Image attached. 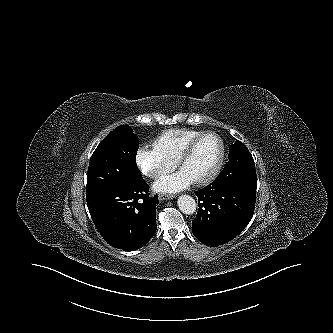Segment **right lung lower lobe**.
Returning <instances> with one entry per match:
<instances>
[{"instance_id":"98d812e1","label":"right lung lower lobe","mask_w":333,"mask_h":333,"mask_svg":"<svg viewBox=\"0 0 333 333\" xmlns=\"http://www.w3.org/2000/svg\"><path fill=\"white\" fill-rule=\"evenodd\" d=\"M148 184L135 181L87 199L91 218L112 247L133 251L143 247L156 231L157 195L148 196Z\"/></svg>"}]
</instances>
